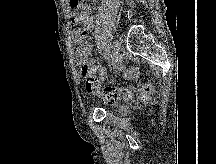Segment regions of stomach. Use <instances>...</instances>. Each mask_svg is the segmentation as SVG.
Masks as SVG:
<instances>
[{"label": "stomach", "mask_w": 216, "mask_h": 164, "mask_svg": "<svg viewBox=\"0 0 216 164\" xmlns=\"http://www.w3.org/2000/svg\"><path fill=\"white\" fill-rule=\"evenodd\" d=\"M70 9H78L81 7L83 0H66Z\"/></svg>", "instance_id": "1"}]
</instances>
